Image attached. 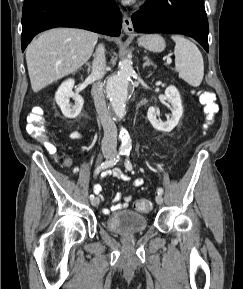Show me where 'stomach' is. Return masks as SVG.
Here are the masks:
<instances>
[{
    "label": "stomach",
    "mask_w": 243,
    "mask_h": 289,
    "mask_svg": "<svg viewBox=\"0 0 243 289\" xmlns=\"http://www.w3.org/2000/svg\"><path fill=\"white\" fill-rule=\"evenodd\" d=\"M138 44L152 52H161L166 47L164 38L159 34L143 35L138 39Z\"/></svg>",
    "instance_id": "0dacf381"
}]
</instances>
